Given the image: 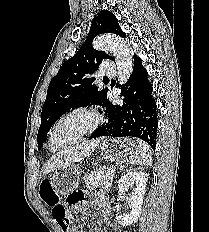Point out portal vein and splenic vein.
I'll return each instance as SVG.
<instances>
[{"label":"portal vein and splenic vein","mask_w":209,"mask_h":232,"mask_svg":"<svg viewBox=\"0 0 209 232\" xmlns=\"http://www.w3.org/2000/svg\"><path fill=\"white\" fill-rule=\"evenodd\" d=\"M114 172H115V169L113 168L109 171V175L112 177L114 175Z\"/></svg>","instance_id":"1"}]
</instances>
